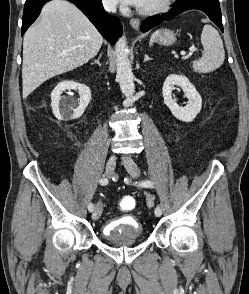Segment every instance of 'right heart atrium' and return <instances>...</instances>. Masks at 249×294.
I'll return each mask as SVG.
<instances>
[{"label":"right heart atrium","mask_w":249,"mask_h":294,"mask_svg":"<svg viewBox=\"0 0 249 294\" xmlns=\"http://www.w3.org/2000/svg\"><path fill=\"white\" fill-rule=\"evenodd\" d=\"M102 3L107 10L111 11L116 8L117 0H102Z\"/></svg>","instance_id":"obj_1"}]
</instances>
